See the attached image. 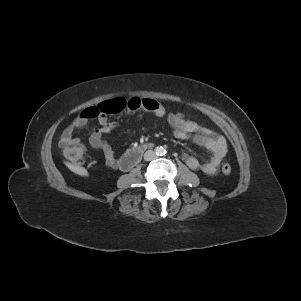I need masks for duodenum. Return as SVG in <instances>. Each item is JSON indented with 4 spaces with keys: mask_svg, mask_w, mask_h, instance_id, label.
<instances>
[{
    "mask_svg": "<svg viewBox=\"0 0 301 301\" xmlns=\"http://www.w3.org/2000/svg\"><path fill=\"white\" fill-rule=\"evenodd\" d=\"M150 147V145L148 144H143L140 146H137L133 149H131L129 152H127L124 156H123V160H122V167L124 170H128L130 168H132L134 165H136L143 153Z\"/></svg>",
    "mask_w": 301,
    "mask_h": 301,
    "instance_id": "1",
    "label": "duodenum"
}]
</instances>
